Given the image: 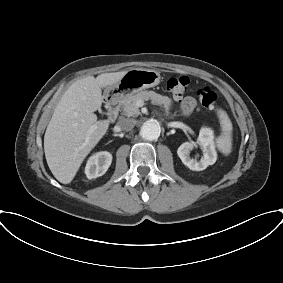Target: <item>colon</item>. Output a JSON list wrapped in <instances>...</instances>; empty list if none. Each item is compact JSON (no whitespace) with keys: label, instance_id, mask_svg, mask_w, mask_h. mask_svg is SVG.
Listing matches in <instances>:
<instances>
[{"label":"colon","instance_id":"1","mask_svg":"<svg viewBox=\"0 0 283 283\" xmlns=\"http://www.w3.org/2000/svg\"><path fill=\"white\" fill-rule=\"evenodd\" d=\"M189 83V79L185 76H172L167 81V89L173 94L174 97H181L187 91ZM197 96L204 108L208 110H213L215 108L217 95L210 88H199L197 90Z\"/></svg>","mask_w":283,"mask_h":283}]
</instances>
